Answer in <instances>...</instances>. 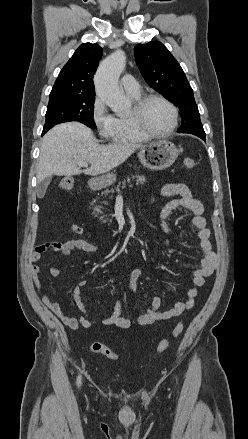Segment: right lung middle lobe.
<instances>
[{"label": "right lung middle lobe", "mask_w": 248, "mask_h": 439, "mask_svg": "<svg viewBox=\"0 0 248 439\" xmlns=\"http://www.w3.org/2000/svg\"><path fill=\"white\" fill-rule=\"evenodd\" d=\"M95 95H58L49 98L46 122L43 128L47 132L54 125L78 121L96 129L93 120Z\"/></svg>", "instance_id": "1"}]
</instances>
